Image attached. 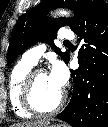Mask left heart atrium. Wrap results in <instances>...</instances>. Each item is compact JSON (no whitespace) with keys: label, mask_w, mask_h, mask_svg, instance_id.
Segmentation results:
<instances>
[{"label":"left heart atrium","mask_w":108,"mask_h":127,"mask_svg":"<svg viewBox=\"0 0 108 127\" xmlns=\"http://www.w3.org/2000/svg\"><path fill=\"white\" fill-rule=\"evenodd\" d=\"M49 77L58 89L63 90L68 81V72L64 65L58 63L53 67Z\"/></svg>","instance_id":"1"}]
</instances>
